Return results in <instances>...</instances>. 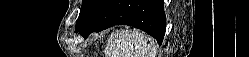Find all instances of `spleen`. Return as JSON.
Wrapping results in <instances>:
<instances>
[{
  "mask_svg": "<svg viewBox=\"0 0 249 57\" xmlns=\"http://www.w3.org/2000/svg\"><path fill=\"white\" fill-rule=\"evenodd\" d=\"M114 50H107V57H154V42L144 33L136 30H118L109 39Z\"/></svg>",
  "mask_w": 249,
  "mask_h": 57,
  "instance_id": "obj_1",
  "label": "spleen"
}]
</instances>
